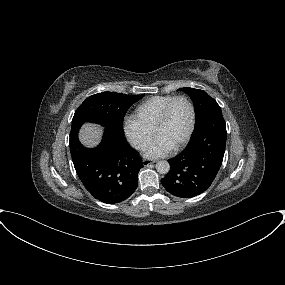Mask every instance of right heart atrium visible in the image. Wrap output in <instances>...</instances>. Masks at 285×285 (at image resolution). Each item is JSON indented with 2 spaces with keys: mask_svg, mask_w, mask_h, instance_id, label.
Instances as JSON below:
<instances>
[{
  "mask_svg": "<svg viewBox=\"0 0 285 285\" xmlns=\"http://www.w3.org/2000/svg\"><path fill=\"white\" fill-rule=\"evenodd\" d=\"M123 130L130 144L140 151L147 147L153 136V130L146 127L133 115L125 117Z\"/></svg>",
  "mask_w": 285,
  "mask_h": 285,
  "instance_id": "right-heart-atrium-1",
  "label": "right heart atrium"
}]
</instances>
